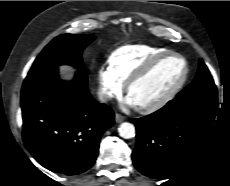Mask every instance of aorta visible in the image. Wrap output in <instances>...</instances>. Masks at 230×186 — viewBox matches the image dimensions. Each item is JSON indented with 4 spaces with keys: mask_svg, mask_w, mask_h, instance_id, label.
Returning <instances> with one entry per match:
<instances>
[{
    "mask_svg": "<svg viewBox=\"0 0 230 186\" xmlns=\"http://www.w3.org/2000/svg\"><path fill=\"white\" fill-rule=\"evenodd\" d=\"M118 132L122 138H133L135 136V127L131 123L124 122L119 126Z\"/></svg>",
    "mask_w": 230,
    "mask_h": 186,
    "instance_id": "762f6f07",
    "label": "aorta"
}]
</instances>
